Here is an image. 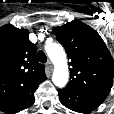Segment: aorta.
Returning <instances> with one entry per match:
<instances>
[{
    "instance_id": "aorta-1",
    "label": "aorta",
    "mask_w": 114,
    "mask_h": 114,
    "mask_svg": "<svg viewBox=\"0 0 114 114\" xmlns=\"http://www.w3.org/2000/svg\"><path fill=\"white\" fill-rule=\"evenodd\" d=\"M45 49L55 67L52 81L57 87H64L69 78L66 54L62 46L57 43H50Z\"/></svg>"
}]
</instances>
